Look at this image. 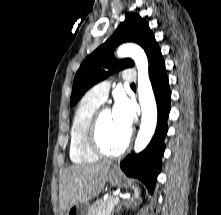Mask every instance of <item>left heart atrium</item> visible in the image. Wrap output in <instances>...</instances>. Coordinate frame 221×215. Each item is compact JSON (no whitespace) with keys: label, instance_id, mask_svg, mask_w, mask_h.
Instances as JSON below:
<instances>
[{"label":"left heart atrium","instance_id":"obj_1","mask_svg":"<svg viewBox=\"0 0 221 215\" xmlns=\"http://www.w3.org/2000/svg\"><path fill=\"white\" fill-rule=\"evenodd\" d=\"M112 113L119 129L130 135L135 117L131 102L124 96H118Z\"/></svg>","mask_w":221,"mask_h":215}]
</instances>
